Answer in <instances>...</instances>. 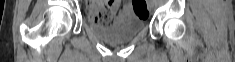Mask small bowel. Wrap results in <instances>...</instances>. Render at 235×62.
Segmentation results:
<instances>
[{
	"label": "small bowel",
	"instance_id": "1",
	"mask_svg": "<svg viewBox=\"0 0 235 62\" xmlns=\"http://www.w3.org/2000/svg\"><path fill=\"white\" fill-rule=\"evenodd\" d=\"M106 4H107L108 8L111 11L112 19H113L114 15L117 13V11H118V9L120 7V1H118V0L109 1ZM96 5H97V3H93L88 8V16L93 21H97L96 17H95ZM124 9H125L124 13H129L131 11V4L130 3H126L125 6H124Z\"/></svg>",
	"mask_w": 235,
	"mask_h": 62
}]
</instances>
